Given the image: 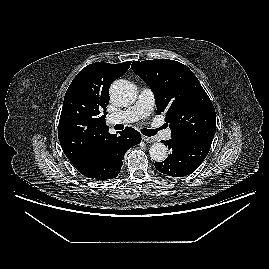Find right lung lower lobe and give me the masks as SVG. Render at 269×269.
Masks as SVG:
<instances>
[{
	"instance_id": "right-lung-lower-lobe-1",
	"label": "right lung lower lobe",
	"mask_w": 269,
	"mask_h": 269,
	"mask_svg": "<svg viewBox=\"0 0 269 269\" xmlns=\"http://www.w3.org/2000/svg\"><path fill=\"white\" fill-rule=\"evenodd\" d=\"M141 142L140 133L127 127L108 142L97 148L86 159L72 163L84 176L94 180H109L118 176L125 152Z\"/></svg>"
}]
</instances>
